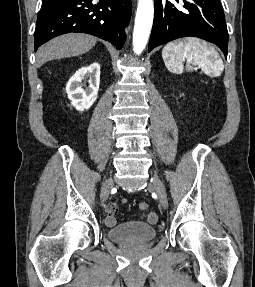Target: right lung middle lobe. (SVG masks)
<instances>
[{"label":"right lung middle lobe","instance_id":"obj_1","mask_svg":"<svg viewBox=\"0 0 255 287\" xmlns=\"http://www.w3.org/2000/svg\"><path fill=\"white\" fill-rule=\"evenodd\" d=\"M42 1H43V4H46L44 0H42Z\"/></svg>","mask_w":255,"mask_h":287}]
</instances>
